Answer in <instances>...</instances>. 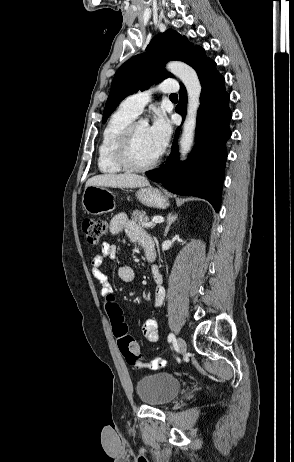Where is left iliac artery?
Wrapping results in <instances>:
<instances>
[{
  "label": "left iliac artery",
  "instance_id": "left-iliac-artery-1",
  "mask_svg": "<svg viewBox=\"0 0 294 462\" xmlns=\"http://www.w3.org/2000/svg\"><path fill=\"white\" fill-rule=\"evenodd\" d=\"M174 339H175L174 334H173V333H170L169 336H168V342H171V341L174 340ZM173 354H174V353H173ZM175 356H176V355H175ZM174 358H177V357H174ZM177 362H178V363H181V362H182V359H181V358H178V359H177Z\"/></svg>",
  "mask_w": 294,
  "mask_h": 462
}]
</instances>
